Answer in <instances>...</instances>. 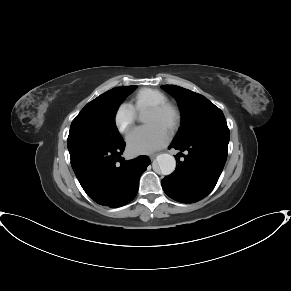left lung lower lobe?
I'll list each match as a JSON object with an SVG mask.
<instances>
[{"label":"left lung lower lobe","mask_w":291,"mask_h":291,"mask_svg":"<svg viewBox=\"0 0 291 291\" xmlns=\"http://www.w3.org/2000/svg\"><path fill=\"white\" fill-rule=\"evenodd\" d=\"M229 135H218L191 141L171 143L169 148L186 152L175 156L176 170L162 180L164 192L182 203H194L206 197L215 187L227 159ZM179 155L184 161L179 160Z\"/></svg>","instance_id":"0a47b994"}]
</instances>
